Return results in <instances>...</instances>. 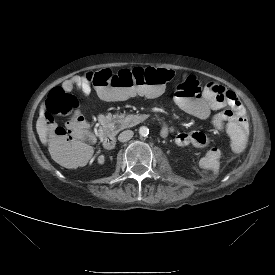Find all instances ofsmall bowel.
I'll return each instance as SVG.
<instances>
[{
	"instance_id": "small-bowel-1",
	"label": "small bowel",
	"mask_w": 275,
	"mask_h": 275,
	"mask_svg": "<svg viewBox=\"0 0 275 275\" xmlns=\"http://www.w3.org/2000/svg\"><path fill=\"white\" fill-rule=\"evenodd\" d=\"M74 87H77L83 95L91 91L90 83L85 78L75 76L63 83L65 90ZM175 102L193 117L208 119L215 129L226 132L233 153H241L246 147L249 123L244 108L233 91L222 85L209 83L201 93H198L194 85L187 84L184 87L178 86ZM71 124L78 130L83 128L81 120H75ZM162 132L167 136L172 132V128L164 124ZM177 139L182 144H192L195 151L204 153L200 156L198 165L206 176L215 178L220 175L223 154L219 145L211 144L208 136L197 131L180 133Z\"/></svg>"
}]
</instances>
